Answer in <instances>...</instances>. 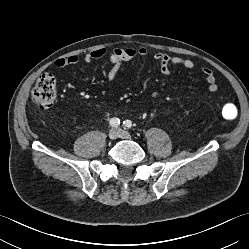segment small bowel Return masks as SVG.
I'll list each match as a JSON object with an SVG mask.
<instances>
[{
	"instance_id": "small-bowel-1",
	"label": "small bowel",
	"mask_w": 249,
	"mask_h": 249,
	"mask_svg": "<svg viewBox=\"0 0 249 249\" xmlns=\"http://www.w3.org/2000/svg\"><path fill=\"white\" fill-rule=\"evenodd\" d=\"M107 54L105 49L99 48L95 49L89 53H87L83 60L85 63H91L95 60H99L105 57ZM148 50L144 47L141 48H122L117 47L114 48L109 54V62L111 64L110 70L108 72V79L110 81L114 80L117 76L121 66L123 63L130 61L138 56H147ZM153 59L159 63L160 72L164 76H171L172 75V66H181L186 69H194L196 64L193 60L189 58H184L180 56L171 55L165 51H159L152 55ZM79 61L78 56L71 55L68 57L59 58L55 61V65L58 68H64L69 65H75ZM202 74L205 77L206 83L208 85L209 92H216L218 89V84L216 80V76L213 70L207 66H203L201 68ZM152 97L156 99L158 97L157 92L152 93Z\"/></svg>"
}]
</instances>
